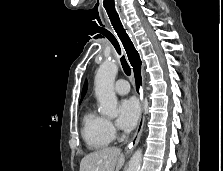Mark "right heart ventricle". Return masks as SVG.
Returning <instances> with one entry per match:
<instances>
[{
	"instance_id": "right-heart-ventricle-1",
	"label": "right heart ventricle",
	"mask_w": 223,
	"mask_h": 171,
	"mask_svg": "<svg viewBox=\"0 0 223 171\" xmlns=\"http://www.w3.org/2000/svg\"><path fill=\"white\" fill-rule=\"evenodd\" d=\"M81 134L91 150L106 148L113 139L108 130L107 119L92 108L87 109L83 115Z\"/></svg>"
}]
</instances>
